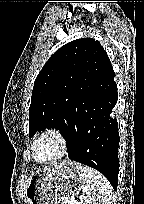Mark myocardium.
<instances>
[{
    "mask_svg": "<svg viewBox=\"0 0 144 204\" xmlns=\"http://www.w3.org/2000/svg\"><path fill=\"white\" fill-rule=\"evenodd\" d=\"M48 136L54 137L58 141L60 145V151L58 155L53 159L48 161H40L36 156V146L41 139ZM69 150H70V141L67 135L62 130L57 128H48L43 130L37 135V137L34 139L32 143V157L34 161L42 165H49V164H54L56 162H59L69 153Z\"/></svg>",
    "mask_w": 144,
    "mask_h": 204,
    "instance_id": "myocardium-1",
    "label": "myocardium"
}]
</instances>
